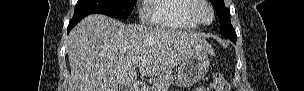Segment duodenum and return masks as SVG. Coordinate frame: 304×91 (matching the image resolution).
Masks as SVG:
<instances>
[{
  "mask_svg": "<svg viewBox=\"0 0 304 91\" xmlns=\"http://www.w3.org/2000/svg\"><path fill=\"white\" fill-rule=\"evenodd\" d=\"M134 91H146L145 85L141 82H136L133 85Z\"/></svg>",
  "mask_w": 304,
  "mask_h": 91,
  "instance_id": "1",
  "label": "duodenum"
}]
</instances>
